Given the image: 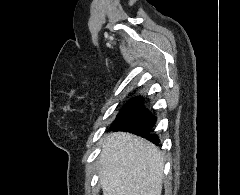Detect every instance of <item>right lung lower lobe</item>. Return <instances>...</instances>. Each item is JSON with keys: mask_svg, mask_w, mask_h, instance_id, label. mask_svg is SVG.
I'll list each match as a JSON object with an SVG mask.
<instances>
[{"mask_svg": "<svg viewBox=\"0 0 240 195\" xmlns=\"http://www.w3.org/2000/svg\"><path fill=\"white\" fill-rule=\"evenodd\" d=\"M156 117L143 106L123 119L117 125L112 126L114 131H128L145 137L153 143H159V138L155 134H151L156 122Z\"/></svg>", "mask_w": 240, "mask_h": 195, "instance_id": "obj_1", "label": "right lung lower lobe"}]
</instances>
